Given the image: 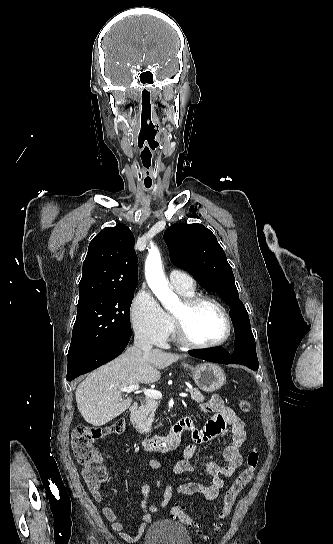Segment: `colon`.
Listing matches in <instances>:
<instances>
[{
	"mask_svg": "<svg viewBox=\"0 0 333 544\" xmlns=\"http://www.w3.org/2000/svg\"><path fill=\"white\" fill-rule=\"evenodd\" d=\"M238 406L242 412H249L251 404L246 400H239ZM126 422L124 418H118L105 427L78 426L74 429L71 445L77 462L83 467V478L90 489H98L108 477L107 468L102 462L100 453L95 448V443L109 434H120L124 431ZM260 461L258 450H251L246 459L245 469L237 476L223 497L222 508L219 512V522L215 526V532L220 530L222 522L225 521L234 506L235 500L240 491L252 480L254 472ZM171 516L199 531L200 525L183 507L175 505L171 509Z\"/></svg>",
	"mask_w": 333,
	"mask_h": 544,
	"instance_id": "colon-1",
	"label": "colon"
}]
</instances>
